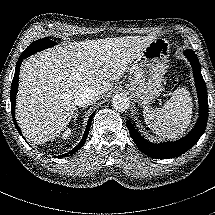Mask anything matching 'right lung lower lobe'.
Wrapping results in <instances>:
<instances>
[{
	"label": "right lung lower lobe",
	"mask_w": 215,
	"mask_h": 215,
	"mask_svg": "<svg viewBox=\"0 0 215 215\" xmlns=\"http://www.w3.org/2000/svg\"><path fill=\"white\" fill-rule=\"evenodd\" d=\"M25 58H27V55L21 54V56L18 59V62L16 64V68H15L14 78H13L12 85H11V94H10L12 118H13L14 124H15L18 132L20 133V135L22 137H23V135L20 131V128L18 127V125L16 123V120H15V103H16V93H17L18 81H19V69H20V65H21L23 59H25ZM93 116H94V113L90 116V118L88 120L84 135H83L80 143L75 148H73L71 151H69L68 153L57 156V158L71 156L72 154L77 152L83 146V144L86 142L87 136L89 134V130H90L91 121H92Z\"/></svg>",
	"instance_id": "obj_1"
}]
</instances>
